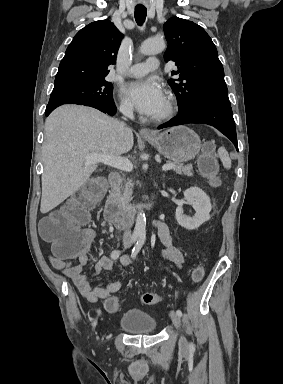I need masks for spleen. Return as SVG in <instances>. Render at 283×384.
Here are the masks:
<instances>
[{
	"mask_svg": "<svg viewBox=\"0 0 283 384\" xmlns=\"http://www.w3.org/2000/svg\"><path fill=\"white\" fill-rule=\"evenodd\" d=\"M218 156L226 170H230L231 168V160L229 158V154L225 148H219L218 150Z\"/></svg>",
	"mask_w": 283,
	"mask_h": 384,
	"instance_id": "1",
	"label": "spleen"
}]
</instances>
